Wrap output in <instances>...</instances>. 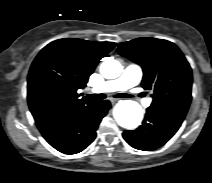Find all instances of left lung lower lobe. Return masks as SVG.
Listing matches in <instances>:
<instances>
[{"label":"left lung lower lobe","mask_w":212,"mask_h":183,"mask_svg":"<svg viewBox=\"0 0 212 183\" xmlns=\"http://www.w3.org/2000/svg\"><path fill=\"white\" fill-rule=\"evenodd\" d=\"M185 113L150 106L145 119L136 130L125 131L123 137L139 150H154L164 145L179 129Z\"/></svg>","instance_id":"1"}]
</instances>
